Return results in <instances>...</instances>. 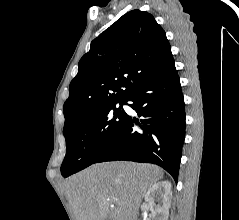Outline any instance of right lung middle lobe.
Wrapping results in <instances>:
<instances>
[{"label":"right lung middle lobe","instance_id":"right-lung-middle-lobe-1","mask_svg":"<svg viewBox=\"0 0 239 220\" xmlns=\"http://www.w3.org/2000/svg\"><path fill=\"white\" fill-rule=\"evenodd\" d=\"M104 106L89 112L63 131L66 156L61 174L68 177L94 163L122 127L127 114L124 102Z\"/></svg>","mask_w":239,"mask_h":220}]
</instances>
